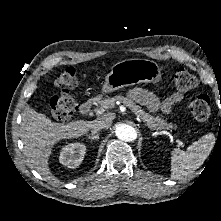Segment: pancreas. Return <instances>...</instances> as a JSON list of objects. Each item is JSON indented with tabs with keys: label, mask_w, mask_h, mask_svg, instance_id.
<instances>
[{
	"label": "pancreas",
	"mask_w": 221,
	"mask_h": 221,
	"mask_svg": "<svg viewBox=\"0 0 221 221\" xmlns=\"http://www.w3.org/2000/svg\"><path fill=\"white\" fill-rule=\"evenodd\" d=\"M116 101H120L123 103L126 107L130 108V110L140 117L143 122L153 130H169L173 128L172 123H167L164 119L158 117V116H152L149 113L145 112L139 105H137L135 102H133L131 99L123 97V96H114L112 98H106L103 100H100L98 103L101 106V108H112L115 105Z\"/></svg>",
	"instance_id": "pancreas-1"
}]
</instances>
